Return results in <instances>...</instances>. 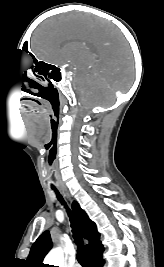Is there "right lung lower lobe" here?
Masks as SVG:
<instances>
[{
    "label": "right lung lower lobe",
    "mask_w": 164,
    "mask_h": 267,
    "mask_svg": "<svg viewBox=\"0 0 164 267\" xmlns=\"http://www.w3.org/2000/svg\"><path fill=\"white\" fill-rule=\"evenodd\" d=\"M102 251H99L95 254H93L92 256L88 257V266L89 267H103L104 265V260L102 258Z\"/></svg>",
    "instance_id": "98d812e1"
}]
</instances>
